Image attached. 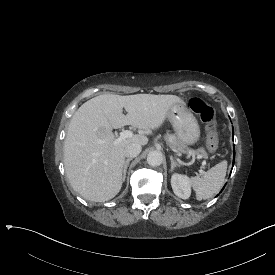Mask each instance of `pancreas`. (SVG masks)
I'll use <instances>...</instances> for the list:
<instances>
[{"mask_svg":"<svg viewBox=\"0 0 275 275\" xmlns=\"http://www.w3.org/2000/svg\"><path fill=\"white\" fill-rule=\"evenodd\" d=\"M164 139L166 140V143L167 145L172 149V150H175L177 152H181V153H187L189 152V148L182 144L178 139L177 137L174 135V134H166L164 136ZM195 154H202V156L204 158H208V154L207 152L204 150V148H200L196 151H194Z\"/></svg>","mask_w":275,"mask_h":275,"instance_id":"obj_1","label":"pancreas"}]
</instances>
